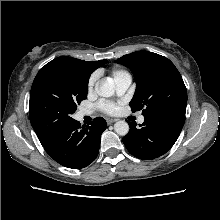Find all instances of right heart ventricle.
<instances>
[{
    "label": "right heart ventricle",
    "mask_w": 220,
    "mask_h": 220,
    "mask_svg": "<svg viewBox=\"0 0 220 220\" xmlns=\"http://www.w3.org/2000/svg\"><path fill=\"white\" fill-rule=\"evenodd\" d=\"M123 73H127V72L122 71V70L113 71V78H115V77H117L118 75L123 74Z\"/></svg>",
    "instance_id": "obj_1"
}]
</instances>
